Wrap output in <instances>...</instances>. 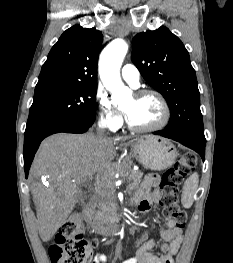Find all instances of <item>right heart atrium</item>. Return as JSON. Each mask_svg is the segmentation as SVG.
<instances>
[{
	"label": "right heart atrium",
	"instance_id": "d8ad5b80",
	"mask_svg": "<svg viewBox=\"0 0 233 263\" xmlns=\"http://www.w3.org/2000/svg\"><path fill=\"white\" fill-rule=\"evenodd\" d=\"M95 102L98 107L100 123L109 130H116L122 125L119 111L113 106L107 94L100 88L96 90Z\"/></svg>",
	"mask_w": 233,
	"mask_h": 263
}]
</instances>
